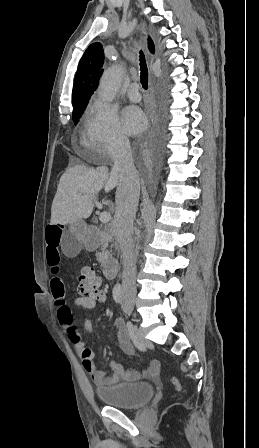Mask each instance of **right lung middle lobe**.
Returning a JSON list of instances; mask_svg holds the SVG:
<instances>
[{
	"instance_id": "obj_1",
	"label": "right lung middle lobe",
	"mask_w": 259,
	"mask_h": 448,
	"mask_svg": "<svg viewBox=\"0 0 259 448\" xmlns=\"http://www.w3.org/2000/svg\"><path fill=\"white\" fill-rule=\"evenodd\" d=\"M84 110H85V108L73 110L72 117H73L74 124H77V122L79 121V118L82 115Z\"/></svg>"
}]
</instances>
